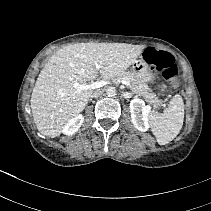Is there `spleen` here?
Instances as JSON below:
<instances>
[{
	"label": "spleen",
	"instance_id": "obj_1",
	"mask_svg": "<svg viewBox=\"0 0 211 211\" xmlns=\"http://www.w3.org/2000/svg\"><path fill=\"white\" fill-rule=\"evenodd\" d=\"M184 121V102L180 95H175L169 107L162 113L152 111L149 125L160 145L168 144L181 131Z\"/></svg>",
	"mask_w": 211,
	"mask_h": 211
}]
</instances>
